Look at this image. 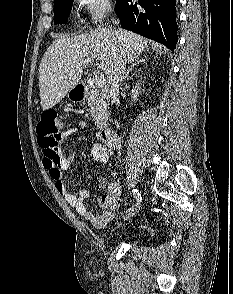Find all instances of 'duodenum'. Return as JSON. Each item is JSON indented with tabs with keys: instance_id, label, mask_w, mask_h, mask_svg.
<instances>
[{
	"instance_id": "duodenum-1",
	"label": "duodenum",
	"mask_w": 233,
	"mask_h": 294,
	"mask_svg": "<svg viewBox=\"0 0 233 294\" xmlns=\"http://www.w3.org/2000/svg\"><path fill=\"white\" fill-rule=\"evenodd\" d=\"M87 88L83 84L77 85L74 90V96L77 100H82L86 94ZM103 141L110 147H116L118 145L119 139L115 131L110 128H105L101 133Z\"/></svg>"
}]
</instances>
